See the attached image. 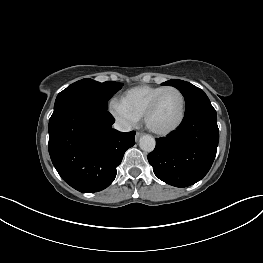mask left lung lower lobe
Here are the masks:
<instances>
[{
  "label": "left lung lower lobe",
  "mask_w": 263,
  "mask_h": 263,
  "mask_svg": "<svg viewBox=\"0 0 263 263\" xmlns=\"http://www.w3.org/2000/svg\"><path fill=\"white\" fill-rule=\"evenodd\" d=\"M218 141L216 111L211 104L202 105L185 113L177 130L156 139L148 161L160 180L175 187H187L208 173Z\"/></svg>",
  "instance_id": "1"
}]
</instances>
